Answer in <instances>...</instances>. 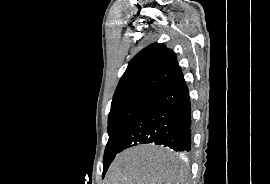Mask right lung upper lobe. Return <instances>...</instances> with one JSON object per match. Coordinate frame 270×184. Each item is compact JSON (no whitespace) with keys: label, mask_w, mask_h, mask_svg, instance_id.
Masks as SVG:
<instances>
[{"label":"right lung upper lobe","mask_w":270,"mask_h":184,"mask_svg":"<svg viewBox=\"0 0 270 184\" xmlns=\"http://www.w3.org/2000/svg\"><path fill=\"white\" fill-rule=\"evenodd\" d=\"M181 72L175 53L162 43L151 44L128 64L113 101L135 95L151 96Z\"/></svg>","instance_id":"1"}]
</instances>
